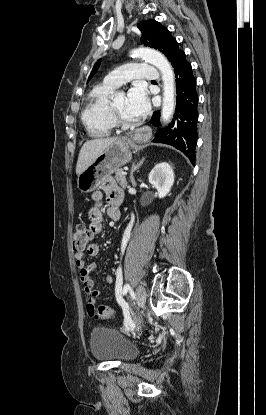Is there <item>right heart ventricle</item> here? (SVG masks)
<instances>
[{
    "label": "right heart ventricle",
    "mask_w": 266,
    "mask_h": 415,
    "mask_svg": "<svg viewBox=\"0 0 266 415\" xmlns=\"http://www.w3.org/2000/svg\"><path fill=\"white\" fill-rule=\"evenodd\" d=\"M115 88L103 82L89 93L82 113V121L92 136H108L116 126L110 110V95Z\"/></svg>",
    "instance_id": "right-heart-ventricle-1"
}]
</instances>
